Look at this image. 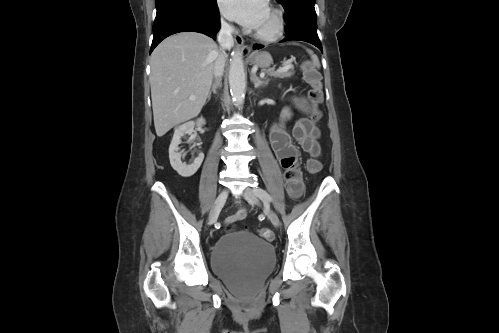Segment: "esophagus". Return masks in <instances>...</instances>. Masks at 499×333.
<instances>
[{
  "label": "esophagus",
  "mask_w": 499,
  "mask_h": 333,
  "mask_svg": "<svg viewBox=\"0 0 499 333\" xmlns=\"http://www.w3.org/2000/svg\"><path fill=\"white\" fill-rule=\"evenodd\" d=\"M234 40L237 46L241 49L243 55H247L250 52V47L245 44L242 35L238 31L234 32Z\"/></svg>",
  "instance_id": "34e87169"
}]
</instances>
